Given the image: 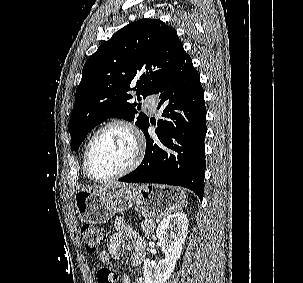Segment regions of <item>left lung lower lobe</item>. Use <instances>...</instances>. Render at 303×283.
Returning a JSON list of instances; mask_svg holds the SVG:
<instances>
[{"label": "left lung lower lobe", "instance_id": "left-lung-lower-lobe-1", "mask_svg": "<svg viewBox=\"0 0 303 283\" xmlns=\"http://www.w3.org/2000/svg\"><path fill=\"white\" fill-rule=\"evenodd\" d=\"M152 94L158 95L157 137L142 129L147 144L142 163L122 182L159 183L183 186L202 200L204 193L205 144L207 132L204 92L190 56L183 51Z\"/></svg>", "mask_w": 303, "mask_h": 283}]
</instances>
